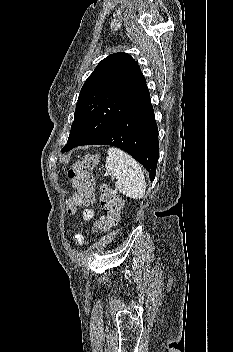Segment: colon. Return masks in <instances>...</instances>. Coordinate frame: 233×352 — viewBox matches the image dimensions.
I'll list each match as a JSON object with an SVG mask.
<instances>
[{
    "label": "colon",
    "instance_id": "colon-1",
    "mask_svg": "<svg viewBox=\"0 0 233 352\" xmlns=\"http://www.w3.org/2000/svg\"><path fill=\"white\" fill-rule=\"evenodd\" d=\"M98 160L95 154H85L69 169L68 177L75 191L74 198L67 202L69 213H73L77 205L90 206L94 203V178L90 170L97 166ZM100 205L104 214L93 228L97 232H106L119 222L122 199L115 190L103 184L100 188Z\"/></svg>",
    "mask_w": 233,
    "mask_h": 352
}]
</instances>
